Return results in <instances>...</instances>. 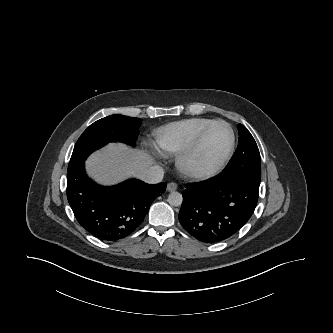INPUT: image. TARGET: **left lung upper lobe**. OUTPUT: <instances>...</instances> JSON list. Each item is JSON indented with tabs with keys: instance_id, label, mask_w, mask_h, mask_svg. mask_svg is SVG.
<instances>
[{
	"instance_id": "left-lung-upper-lobe-1",
	"label": "left lung upper lobe",
	"mask_w": 333,
	"mask_h": 333,
	"mask_svg": "<svg viewBox=\"0 0 333 333\" xmlns=\"http://www.w3.org/2000/svg\"><path fill=\"white\" fill-rule=\"evenodd\" d=\"M239 145L237 151L222 175H236L259 186L261 179V159L257 144L250 132L238 125Z\"/></svg>"
}]
</instances>
